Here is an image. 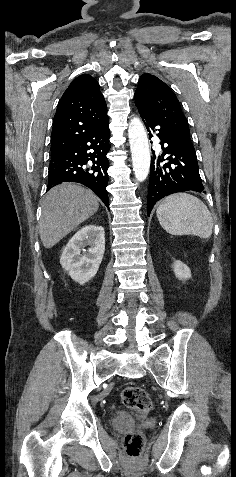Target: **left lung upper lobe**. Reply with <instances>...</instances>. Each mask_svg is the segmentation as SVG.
Returning a JSON list of instances; mask_svg holds the SVG:
<instances>
[{"label":"left lung upper lobe","instance_id":"left-lung-upper-lobe-1","mask_svg":"<svg viewBox=\"0 0 236 477\" xmlns=\"http://www.w3.org/2000/svg\"><path fill=\"white\" fill-rule=\"evenodd\" d=\"M135 105L143 109L177 141L194 148L186 117L174 92L159 78L141 75L135 91Z\"/></svg>","mask_w":236,"mask_h":477}]
</instances>
